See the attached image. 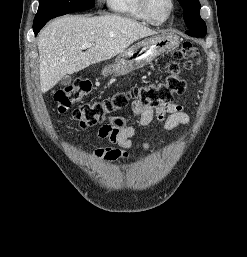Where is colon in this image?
<instances>
[{"mask_svg": "<svg viewBox=\"0 0 247 257\" xmlns=\"http://www.w3.org/2000/svg\"><path fill=\"white\" fill-rule=\"evenodd\" d=\"M198 57V48L191 42H184L174 53L175 60L168 65L167 74L162 81L135 86L127 93H116L105 99L81 104L73 110L72 118L81 128H89L103 124L112 117V114L126 108L130 99L149 107L166 103L174 94H182L186 89L179 61H184L183 67L189 70L198 64ZM91 92V82L83 79L56 91L54 100L58 111L66 113L74 105L81 103Z\"/></svg>", "mask_w": 247, "mask_h": 257, "instance_id": "obj_1", "label": "colon"}]
</instances>
